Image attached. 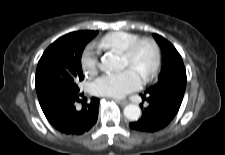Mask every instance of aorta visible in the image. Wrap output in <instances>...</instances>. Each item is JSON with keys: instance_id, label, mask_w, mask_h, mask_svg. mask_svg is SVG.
Masks as SVG:
<instances>
[{"instance_id": "obj_1", "label": "aorta", "mask_w": 225, "mask_h": 155, "mask_svg": "<svg viewBox=\"0 0 225 155\" xmlns=\"http://www.w3.org/2000/svg\"><path fill=\"white\" fill-rule=\"evenodd\" d=\"M123 68L119 56L107 53L102 57L100 69L105 72L116 71ZM124 116L130 121H137L141 116V109L136 104H129L124 108Z\"/></svg>"}]
</instances>
